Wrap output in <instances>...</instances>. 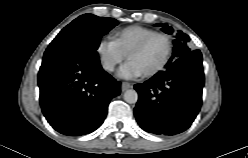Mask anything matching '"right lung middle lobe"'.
<instances>
[{"label":"right lung middle lobe","mask_w":248,"mask_h":158,"mask_svg":"<svg viewBox=\"0 0 248 158\" xmlns=\"http://www.w3.org/2000/svg\"><path fill=\"white\" fill-rule=\"evenodd\" d=\"M117 24L113 18L101 19L93 14H84L62 29L49 46L64 45L96 51L101 37Z\"/></svg>","instance_id":"dd1d6c3e"}]
</instances>
